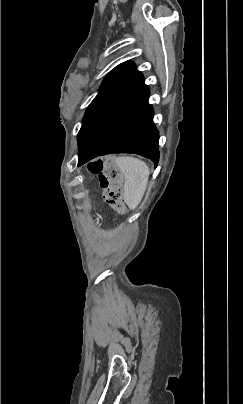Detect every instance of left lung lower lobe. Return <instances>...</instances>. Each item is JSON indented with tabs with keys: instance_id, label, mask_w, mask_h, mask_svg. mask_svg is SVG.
Returning a JSON list of instances; mask_svg holds the SVG:
<instances>
[{
	"instance_id": "1",
	"label": "left lung lower lobe",
	"mask_w": 243,
	"mask_h": 404,
	"mask_svg": "<svg viewBox=\"0 0 243 404\" xmlns=\"http://www.w3.org/2000/svg\"><path fill=\"white\" fill-rule=\"evenodd\" d=\"M149 88L143 84L96 121L79 151L78 166L110 153H136L159 161V132L148 103Z\"/></svg>"
}]
</instances>
